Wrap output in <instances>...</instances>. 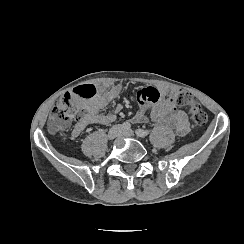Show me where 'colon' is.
Listing matches in <instances>:
<instances>
[{
  "label": "colon",
  "instance_id": "obj_1",
  "mask_svg": "<svg viewBox=\"0 0 244 244\" xmlns=\"http://www.w3.org/2000/svg\"><path fill=\"white\" fill-rule=\"evenodd\" d=\"M98 88L95 85L85 86L79 84L73 91L72 96L75 99L82 97L95 96ZM173 101L183 107L189 109L191 121L196 127L206 125L208 117L201 105L186 91L179 90L173 97ZM78 113V108L72 102L69 94H63L53 104L52 112L49 117L48 127L51 131L60 132L69 128Z\"/></svg>",
  "mask_w": 244,
  "mask_h": 244
}]
</instances>
